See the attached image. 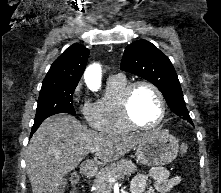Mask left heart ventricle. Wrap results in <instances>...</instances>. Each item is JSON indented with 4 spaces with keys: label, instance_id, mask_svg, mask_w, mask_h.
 Here are the masks:
<instances>
[{
    "label": "left heart ventricle",
    "instance_id": "left-heart-ventricle-1",
    "mask_svg": "<svg viewBox=\"0 0 221 193\" xmlns=\"http://www.w3.org/2000/svg\"><path fill=\"white\" fill-rule=\"evenodd\" d=\"M131 112L139 124H153L160 114V103L155 92L147 86L137 87L132 96Z\"/></svg>",
    "mask_w": 221,
    "mask_h": 193
}]
</instances>
